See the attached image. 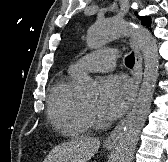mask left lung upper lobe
<instances>
[{
    "instance_id": "obj_1",
    "label": "left lung upper lobe",
    "mask_w": 168,
    "mask_h": 162,
    "mask_svg": "<svg viewBox=\"0 0 168 162\" xmlns=\"http://www.w3.org/2000/svg\"><path fill=\"white\" fill-rule=\"evenodd\" d=\"M137 15V13H135ZM138 18L141 20L143 25H149L151 23V18L148 16H144V17H139Z\"/></svg>"
}]
</instances>
